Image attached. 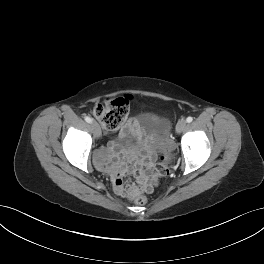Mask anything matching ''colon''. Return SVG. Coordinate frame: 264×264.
Returning <instances> with one entry per match:
<instances>
[{
	"mask_svg": "<svg viewBox=\"0 0 264 264\" xmlns=\"http://www.w3.org/2000/svg\"><path fill=\"white\" fill-rule=\"evenodd\" d=\"M132 98L123 96L110 100L104 104L96 105L93 109V115L101 122L106 130L114 131L123 126L130 111ZM167 157H162V160L156 165L155 175L165 177L169 173V168L166 163ZM119 194L126 198H131L137 205L144 206L148 199L145 195L152 188L147 185L145 175H141L132 180H128L126 176L120 179Z\"/></svg>",
	"mask_w": 264,
	"mask_h": 264,
	"instance_id": "1",
	"label": "colon"
}]
</instances>
